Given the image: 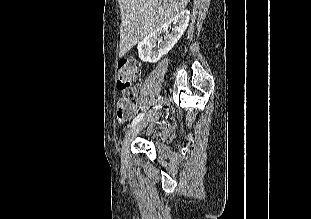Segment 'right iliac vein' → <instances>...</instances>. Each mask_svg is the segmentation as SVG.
<instances>
[{
  "mask_svg": "<svg viewBox=\"0 0 311 219\" xmlns=\"http://www.w3.org/2000/svg\"><path fill=\"white\" fill-rule=\"evenodd\" d=\"M156 109L154 108L147 114L138 124L133 126L126 134L121 151V159L123 162H126L128 159L129 146L132 140L138 135V133L143 130L150 122L153 121L157 114V108L161 105V101L156 103Z\"/></svg>",
  "mask_w": 311,
  "mask_h": 219,
  "instance_id": "obj_1",
  "label": "right iliac vein"
}]
</instances>
